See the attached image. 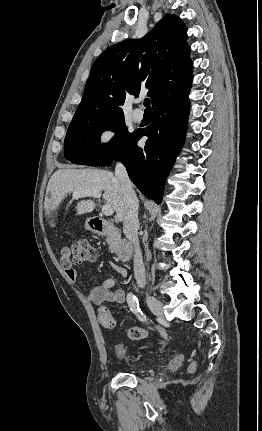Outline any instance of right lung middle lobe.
<instances>
[{
	"mask_svg": "<svg viewBox=\"0 0 262 431\" xmlns=\"http://www.w3.org/2000/svg\"><path fill=\"white\" fill-rule=\"evenodd\" d=\"M106 129L116 131V135L109 144H101L100 135ZM134 134L128 132L124 116L71 121L64 143L65 158L80 165H109L121 155Z\"/></svg>",
	"mask_w": 262,
	"mask_h": 431,
	"instance_id": "dd1d6c3e",
	"label": "right lung middle lobe"
}]
</instances>
